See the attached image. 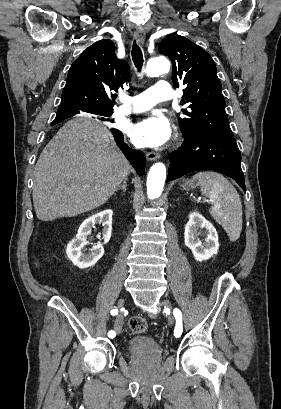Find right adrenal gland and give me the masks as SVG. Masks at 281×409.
Segmentation results:
<instances>
[{
    "mask_svg": "<svg viewBox=\"0 0 281 409\" xmlns=\"http://www.w3.org/2000/svg\"><path fill=\"white\" fill-rule=\"evenodd\" d=\"M123 190V192H126L127 190V178H125V180H123L122 184H120V186H118V188H116V192H118V190Z\"/></svg>",
    "mask_w": 281,
    "mask_h": 409,
    "instance_id": "2a0ac1e0",
    "label": "right adrenal gland"
}]
</instances>
